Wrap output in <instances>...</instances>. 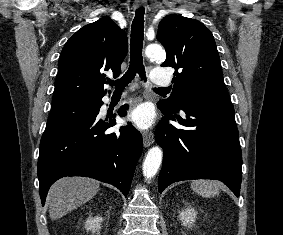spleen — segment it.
<instances>
[{"label": "spleen", "mask_w": 283, "mask_h": 235, "mask_svg": "<svg viewBox=\"0 0 283 235\" xmlns=\"http://www.w3.org/2000/svg\"><path fill=\"white\" fill-rule=\"evenodd\" d=\"M220 183L214 180H195L192 189L203 197H214L219 194Z\"/></svg>", "instance_id": "obj_1"}]
</instances>
